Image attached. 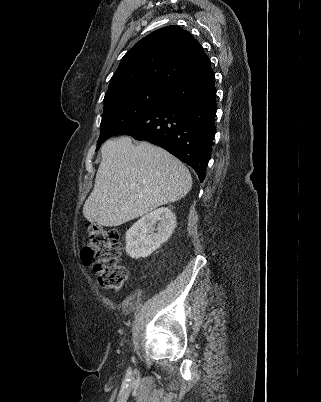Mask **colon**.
<instances>
[{"mask_svg":"<svg viewBox=\"0 0 321 402\" xmlns=\"http://www.w3.org/2000/svg\"><path fill=\"white\" fill-rule=\"evenodd\" d=\"M122 243L117 231L96 224L88 227V241L81 250V259L93 265L100 286L106 290H119L127 278V269L118 261Z\"/></svg>","mask_w":321,"mask_h":402,"instance_id":"1","label":"colon"}]
</instances>
